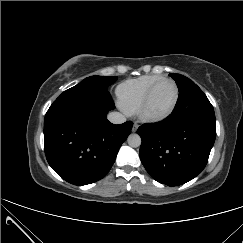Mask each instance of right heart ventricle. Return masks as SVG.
<instances>
[{
    "label": "right heart ventricle",
    "mask_w": 243,
    "mask_h": 243,
    "mask_svg": "<svg viewBox=\"0 0 243 243\" xmlns=\"http://www.w3.org/2000/svg\"><path fill=\"white\" fill-rule=\"evenodd\" d=\"M164 77L151 74L129 79L116 89V95L121 108L127 113H134L139 108L148 90Z\"/></svg>",
    "instance_id": "1"
}]
</instances>
